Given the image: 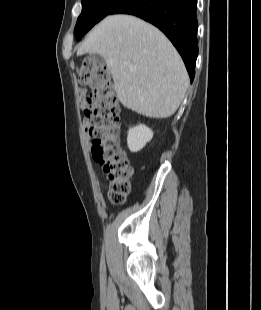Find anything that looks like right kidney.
<instances>
[{"mask_svg":"<svg viewBox=\"0 0 261 310\" xmlns=\"http://www.w3.org/2000/svg\"><path fill=\"white\" fill-rule=\"evenodd\" d=\"M153 132L145 125L130 128L127 136L128 148L131 152H138L152 139Z\"/></svg>","mask_w":261,"mask_h":310,"instance_id":"1","label":"right kidney"}]
</instances>
